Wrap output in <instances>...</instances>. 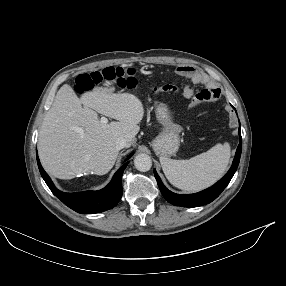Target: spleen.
<instances>
[{"label": "spleen", "mask_w": 286, "mask_h": 286, "mask_svg": "<svg viewBox=\"0 0 286 286\" xmlns=\"http://www.w3.org/2000/svg\"><path fill=\"white\" fill-rule=\"evenodd\" d=\"M229 159L230 145L225 143L217 144L189 160L160 157V163L166 178L173 186L196 192L219 180L226 172Z\"/></svg>", "instance_id": "obj_1"}]
</instances>
